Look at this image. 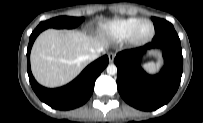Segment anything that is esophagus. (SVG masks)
I'll list each match as a JSON object with an SVG mask.
<instances>
[{
  "label": "esophagus",
  "mask_w": 203,
  "mask_h": 123,
  "mask_svg": "<svg viewBox=\"0 0 203 123\" xmlns=\"http://www.w3.org/2000/svg\"><path fill=\"white\" fill-rule=\"evenodd\" d=\"M108 58H109V62L112 63L114 61L115 54L114 53H109Z\"/></svg>",
  "instance_id": "esophagus-1"
}]
</instances>
